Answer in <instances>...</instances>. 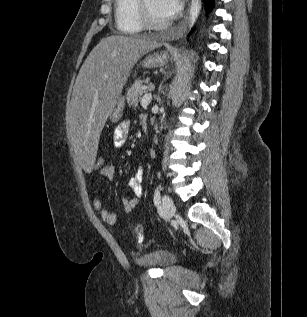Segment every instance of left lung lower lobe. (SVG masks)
Masks as SVG:
<instances>
[{"instance_id":"obj_1","label":"left lung lower lobe","mask_w":307,"mask_h":317,"mask_svg":"<svg viewBox=\"0 0 307 317\" xmlns=\"http://www.w3.org/2000/svg\"><path fill=\"white\" fill-rule=\"evenodd\" d=\"M208 9H212L214 0H205Z\"/></svg>"}]
</instances>
